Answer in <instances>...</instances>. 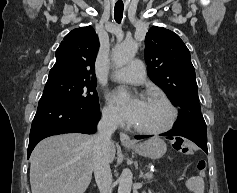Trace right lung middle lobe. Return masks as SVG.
<instances>
[{
	"mask_svg": "<svg viewBox=\"0 0 237 193\" xmlns=\"http://www.w3.org/2000/svg\"><path fill=\"white\" fill-rule=\"evenodd\" d=\"M95 79H83L63 74H49L40 100H55L70 106L94 109L99 107Z\"/></svg>",
	"mask_w": 237,
	"mask_h": 193,
	"instance_id": "dd1d6c3e",
	"label": "right lung middle lobe"
}]
</instances>
